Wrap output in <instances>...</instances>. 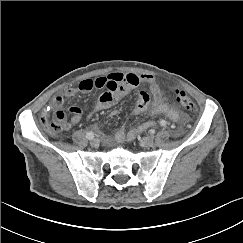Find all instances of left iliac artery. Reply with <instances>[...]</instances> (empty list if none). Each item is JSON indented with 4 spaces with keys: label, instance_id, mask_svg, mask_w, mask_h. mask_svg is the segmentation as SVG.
<instances>
[{
    "label": "left iliac artery",
    "instance_id": "obj_1",
    "mask_svg": "<svg viewBox=\"0 0 243 243\" xmlns=\"http://www.w3.org/2000/svg\"><path fill=\"white\" fill-rule=\"evenodd\" d=\"M159 124H160V126H165L167 124V122L165 120H160Z\"/></svg>",
    "mask_w": 243,
    "mask_h": 243
}]
</instances>
